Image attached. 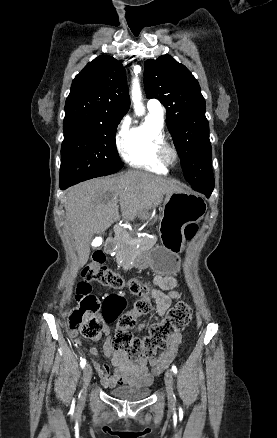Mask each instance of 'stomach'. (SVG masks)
<instances>
[{"instance_id":"obj_1","label":"stomach","mask_w":277,"mask_h":438,"mask_svg":"<svg viewBox=\"0 0 277 438\" xmlns=\"http://www.w3.org/2000/svg\"><path fill=\"white\" fill-rule=\"evenodd\" d=\"M205 210L206 203L196 193L180 189L166 194L159 221L161 245L137 256L135 266L150 267L163 275L176 273L181 266L179 253L184 248V228L203 218Z\"/></svg>"}]
</instances>
